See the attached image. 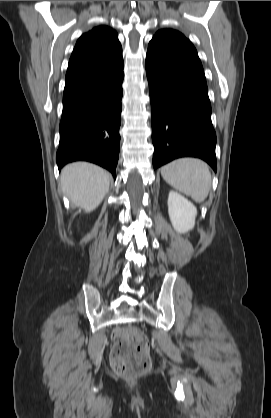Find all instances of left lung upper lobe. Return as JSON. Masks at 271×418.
Returning a JSON list of instances; mask_svg holds the SVG:
<instances>
[{
  "label": "left lung upper lobe",
  "instance_id": "5c2ea615",
  "mask_svg": "<svg viewBox=\"0 0 271 418\" xmlns=\"http://www.w3.org/2000/svg\"><path fill=\"white\" fill-rule=\"evenodd\" d=\"M153 39H157L167 44L168 46L178 50L183 55L201 64V61L193 44L187 38H185V36L179 31L173 29L159 30L155 34Z\"/></svg>",
  "mask_w": 271,
  "mask_h": 418
}]
</instances>
